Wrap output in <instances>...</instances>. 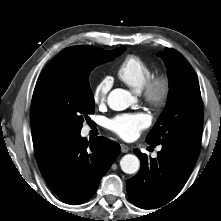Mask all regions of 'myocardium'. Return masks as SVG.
I'll list each match as a JSON object with an SVG mask.
<instances>
[{
	"label": "myocardium",
	"instance_id": "1",
	"mask_svg": "<svg viewBox=\"0 0 221 221\" xmlns=\"http://www.w3.org/2000/svg\"><path fill=\"white\" fill-rule=\"evenodd\" d=\"M172 92V82L166 74L152 75L141 89L142 96L147 104L160 109L169 101Z\"/></svg>",
	"mask_w": 221,
	"mask_h": 221
}]
</instances>
